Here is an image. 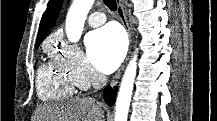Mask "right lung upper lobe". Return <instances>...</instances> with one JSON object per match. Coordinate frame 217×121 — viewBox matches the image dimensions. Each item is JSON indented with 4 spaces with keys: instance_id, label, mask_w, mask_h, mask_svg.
<instances>
[{
    "instance_id": "right-lung-upper-lobe-1",
    "label": "right lung upper lobe",
    "mask_w": 217,
    "mask_h": 121,
    "mask_svg": "<svg viewBox=\"0 0 217 121\" xmlns=\"http://www.w3.org/2000/svg\"><path fill=\"white\" fill-rule=\"evenodd\" d=\"M61 5H62V0L49 1L47 9L44 12L40 22L36 47H38L39 44L43 41V39L47 36L48 32L50 31L53 24L55 23V20L57 19V16L61 9Z\"/></svg>"
}]
</instances>
